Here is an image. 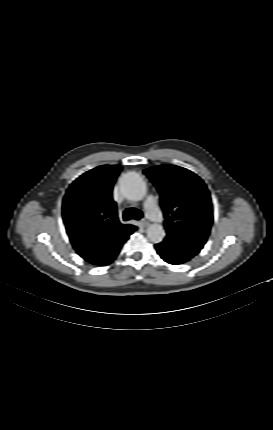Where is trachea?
Instances as JSON below:
<instances>
[{
    "label": "trachea",
    "mask_w": 273,
    "mask_h": 430,
    "mask_svg": "<svg viewBox=\"0 0 273 430\" xmlns=\"http://www.w3.org/2000/svg\"><path fill=\"white\" fill-rule=\"evenodd\" d=\"M143 217V214L140 210L135 208H127L123 213V219L125 221L134 219V220H140Z\"/></svg>",
    "instance_id": "3493384b"
}]
</instances>
